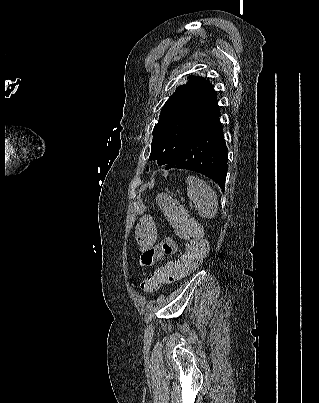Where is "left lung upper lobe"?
Here are the masks:
<instances>
[{
	"instance_id": "1",
	"label": "left lung upper lobe",
	"mask_w": 319,
	"mask_h": 403,
	"mask_svg": "<svg viewBox=\"0 0 319 403\" xmlns=\"http://www.w3.org/2000/svg\"><path fill=\"white\" fill-rule=\"evenodd\" d=\"M216 99L212 84L200 76L189 77L187 84L179 86L165 102L154 127L149 160L167 165Z\"/></svg>"
}]
</instances>
